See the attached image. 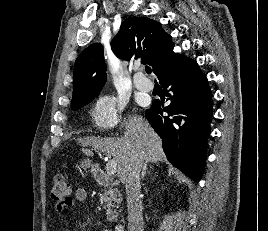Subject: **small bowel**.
<instances>
[{
	"label": "small bowel",
	"mask_w": 268,
	"mask_h": 231,
	"mask_svg": "<svg viewBox=\"0 0 268 231\" xmlns=\"http://www.w3.org/2000/svg\"><path fill=\"white\" fill-rule=\"evenodd\" d=\"M87 198V191L85 188L82 187H78L75 188L73 191V200L76 202H84ZM71 204V202H70ZM69 203L67 204H58L56 205V208L58 210H63L65 207H67L68 205H70Z\"/></svg>",
	"instance_id": "small-bowel-1"
}]
</instances>
